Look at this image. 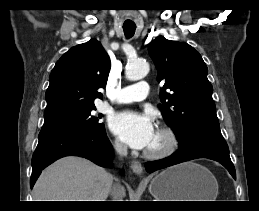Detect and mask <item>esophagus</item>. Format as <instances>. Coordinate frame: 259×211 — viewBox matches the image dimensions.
Returning a JSON list of instances; mask_svg holds the SVG:
<instances>
[{
	"instance_id": "34e87169",
	"label": "esophagus",
	"mask_w": 259,
	"mask_h": 211,
	"mask_svg": "<svg viewBox=\"0 0 259 211\" xmlns=\"http://www.w3.org/2000/svg\"><path fill=\"white\" fill-rule=\"evenodd\" d=\"M131 169L136 175L142 176L143 167H142V164L139 161H133L132 164H131Z\"/></svg>"
}]
</instances>
